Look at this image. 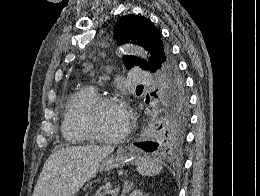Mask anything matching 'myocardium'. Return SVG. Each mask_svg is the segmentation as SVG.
I'll return each instance as SVG.
<instances>
[{"label":"myocardium","instance_id":"obj_1","mask_svg":"<svg viewBox=\"0 0 260 196\" xmlns=\"http://www.w3.org/2000/svg\"><path fill=\"white\" fill-rule=\"evenodd\" d=\"M111 104H118L123 106L126 109L127 112V105L125 101L117 96H98L93 101H91L88 106L84 110L83 117L79 120L78 124L79 127L84 130L91 139H94L96 141H102V142H121L123 141L126 136L129 134L132 123L130 121V118L127 113V123L125 128L118 133L117 135H109L104 134L99 131H97L93 126V118L96 112L103 106L111 105Z\"/></svg>","mask_w":260,"mask_h":196}]
</instances>
